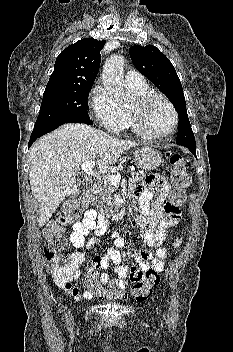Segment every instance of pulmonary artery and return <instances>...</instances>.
Segmentation results:
<instances>
[{"instance_id":"pulmonary-artery-1","label":"pulmonary artery","mask_w":233,"mask_h":352,"mask_svg":"<svg viewBox=\"0 0 233 352\" xmlns=\"http://www.w3.org/2000/svg\"><path fill=\"white\" fill-rule=\"evenodd\" d=\"M127 85L132 89H142L146 87L144 77L137 71H128L125 75Z\"/></svg>"}]
</instances>
